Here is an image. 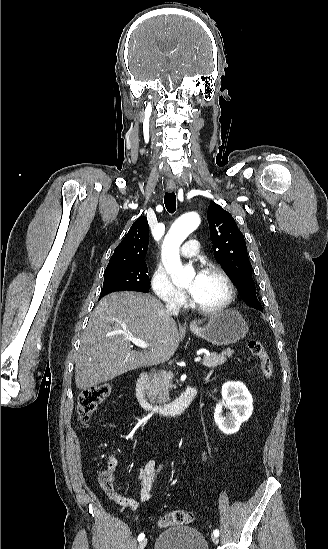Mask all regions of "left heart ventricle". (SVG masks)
Returning a JSON list of instances; mask_svg holds the SVG:
<instances>
[{"mask_svg": "<svg viewBox=\"0 0 328 549\" xmlns=\"http://www.w3.org/2000/svg\"><path fill=\"white\" fill-rule=\"evenodd\" d=\"M193 270V268L191 267ZM202 269H205L203 267ZM201 269V270H202ZM196 274L192 273L187 281V290L195 284ZM227 288L224 280L214 272L200 273L196 282L195 292L191 296L204 307H213L226 296Z\"/></svg>", "mask_w": 328, "mask_h": 549, "instance_id": "1", "label": "left heart ventricle"}]
</instances>
